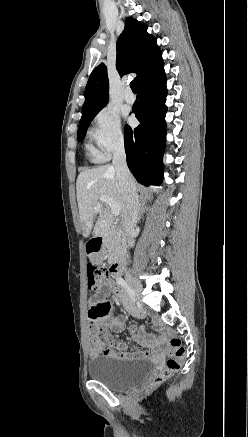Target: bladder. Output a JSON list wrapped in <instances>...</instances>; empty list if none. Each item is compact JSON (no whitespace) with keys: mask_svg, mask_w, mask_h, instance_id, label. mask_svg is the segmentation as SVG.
<instances>
[{"mask_svg":"<svg viewBox=\"0 0 248 437\" xmlns=\"http://www.w3.org/2000/svg\"><path fill=\"white\" fill-rule=\"evenodd\" d=\"M155 371V364L145 358L104 356L90 367L89 375L112 390H124L146 381Z\"/></svg>","mask_w":248,"mask_h":437,"instance_id":"31cf9c89","label":"bladder"}]
</instances>
